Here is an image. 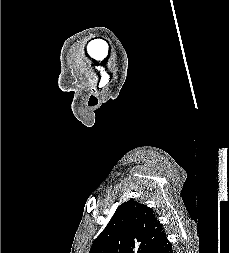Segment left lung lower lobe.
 Segmentation results:
<instances>
[{"label": "left lung lower lobe", "mask_w": 229, "mask_h": 253, "mask_svg": "<svg viewBox=\"0 0 229 253\" xmlns=\"http://www.w3.org/2000/svg\"><path fill=\"white\" fill-rule=\"evenodd\" d=\"M154 253H173L172 245L167 237L161 241Z\"/></svg>", "instance_id": "left-lung-lower-lobe-1"}]
</instances>
